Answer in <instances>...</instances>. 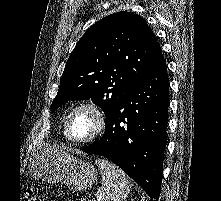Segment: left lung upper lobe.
<instances>
[{"label":"left lung upper lobe","instance_id":"5c2ea615","mask_svg":"<svg viewBox=\"0 0 221 201\" xmlns=\"http://www.w3.org/2000/svg\"><path fill=\"white\" fill-rule=\"evenodd\" d=\"M164 60L144 19L117 12L93 24L76 44L60 79L51 111L69 100L92 99L105 125L128 92Z\"/></svg>","mask_w":221,"mask_h":201}]
</instances>
